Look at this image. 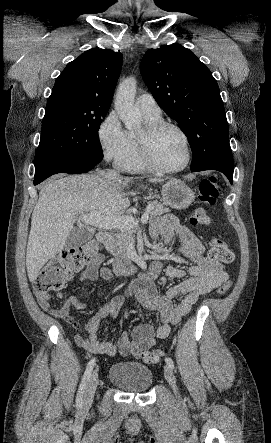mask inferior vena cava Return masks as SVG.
<instances>
[{"instance_id":"inferior-vena-cava-1","label":"inferior vena cava","mask_w":271,"mask_h":443,"mask_svg":"<svg viewBox=\"0 0 271 443\" xmlns=\"http://www.w3.org/2000/svg\"><path fill=\"white\" fill-rule=\"evenodd\" d=\"M107 176L108 178H119L120 174H118V172H115V170H108Z\"/></svg>"}]
</instances>
